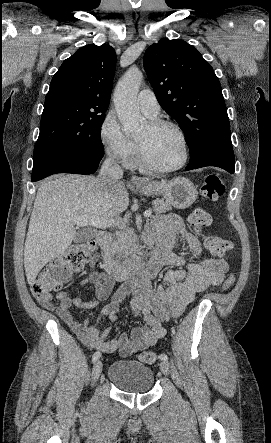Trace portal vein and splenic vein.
<instances>
[{
  "label": "portal vein and splenic vein",
  "instance_id": "obj_1",
  "mask_svg": "<svg viewBox=\"0 0 271 443\" xmlns=\"http://www.w3.org/2000/svg\"><path fill=\"white\" fill-rule=\"evenodd\" d=\"M152 216V212L147 210L144 212V218H149ZM74 222L79 223V225H94V227H110V225H115L116 220H112V222L108 223L107 220H101V218H91L88 220V216H75Z\"/></svg>",
  "mask_w": 271,
  "mask_h": 443
}]
</instances>
